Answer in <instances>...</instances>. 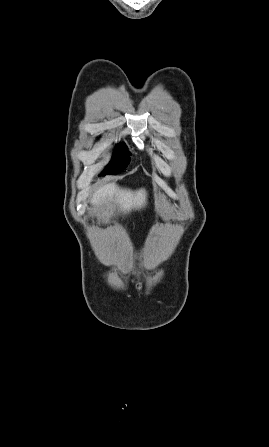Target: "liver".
Masks as SVG:
<instances>
[{
    "label": "liver",
    "mask_w": 269,
    "mask_h": 447,
    "mask_svg": "<svg viewBox=\"0 0 269 447\" xmlns=\"http://www.w3.org/2000/svg\"><path fill=\"white\" fill-rule=\"evenodd\" d=\"M147 194L145 190H122L117 188L115 184H106L102 188L95 190L93 198L91 200L92 206H102V204H108L113 202L118 206L119 214H128L131 210H139L146 204Z\"/></svg>",
    "instance_id": "obj_1"
}]
</instances>
